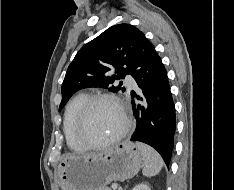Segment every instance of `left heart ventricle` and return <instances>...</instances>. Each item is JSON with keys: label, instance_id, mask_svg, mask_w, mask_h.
I'll return each mask as SVG.
<instances>
[{"label": "left heart ventricle", "instance_id": "b2bd125f", "mask_svg": "<svg viewBox=\"0 0 234 190\" xmlns=\"http://www.w3.org/2000/svg\"><path fill=\"white\" fill-rule=\"evenodd\" d=\"M123 123L122 114L115 104L100 101L95 103L90 110L86 134L94 143H100L118 133Z\"/></svg>", "mask_w": 234, "mask_h": 190}]
</instances>
